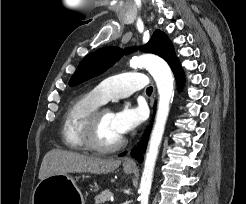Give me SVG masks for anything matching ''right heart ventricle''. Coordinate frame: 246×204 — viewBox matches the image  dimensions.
I'll list each match as a JSON object with an SVG mask.
<instances>
[{"label":"right heart ventricle","mask_w":246,"mask_h":204,"mask_svg":"<svg viewBox=\"0 0 246 204\" xmlns=\"http://www.w3.org/2000/svg\"><path fill=\"white\" fill-rule=\"evenodd\" d=\"M102 103L92 92L75 98L69 105L62 123V140L64 145L76 151L87 149L82 133L89 116Z\"/></svg>","instance_id":"1"}]
</instances>
